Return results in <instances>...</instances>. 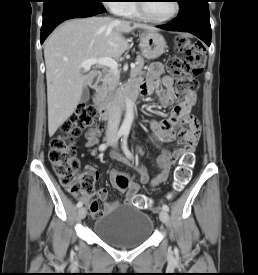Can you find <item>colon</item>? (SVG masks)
<instances>
[{
    "instance_id": "5ec220e1",
    "label": "colon",
    "mask_w": 258,
    "mask_h": 275,
    "mask_svg": "<svg viewBox=\"0 0 258 275\" xmlns=\"http://www.w3.org/2000/svg\"><path fill=\"white\" fill-rule=\"evenodd\" d=\"M175 49L184 54L183 57L174 56L166 63L167 70L176 78V92L179 96H189L199 87L196 79L204 68L206 54L203 48L185 36L176 38ZM96 116L93 106L79 107L63 123L59 134L50 142L49 160L60 184L76 198L84 200L91 197L94 190L96 176L92 172H79V160L76 157L75 139L88 128ZM193 155L186 153L179 166L175 169L173 178V190L181 191L189 182L193 166ZM116 185L125 191L129 181L124 175H117ZM133 203L139 209H147L152 206L150 198L145 195L135 196Z\"/></svg>"
}]
</instances>
